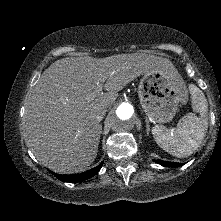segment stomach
<instances>
[{
  "label": "stomach",
  "instance_id": "0dacf381",
  "mask_svg": "<svg viewBox=\"0 0 221 221\" xmlns=\"http://www.w3.org/2000/svg\"><path fill=\"white\" fill-rule=\"evenodd\" d=\"M140 104L154 122L171 121L179 105L185 104L188 92L182 77L174 68L145 73L138 87Z\"/></svg>",
  "mask_w": 221,
  "mask_h": 221
}]
</instances>
